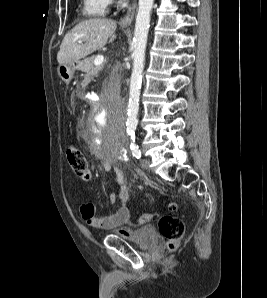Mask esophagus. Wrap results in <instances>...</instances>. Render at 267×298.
Masks as SVG:
<instances>
[{
    "label": "esophagus",
    "mask_w": 267,
    "mask_h": 298,
    "mask_svg": "<svg viewBox=\"0 0 267 298\" xmlns=\"http://www.w3.org/2000/svg\"><path fill=\"white\" fill-rule=\"evenodd\" d=\"M135 9H136V1L133 2V4L128 8L127 13L124 15L123 18L120 20L121 26H129L135 15Z\"/></svg>",
    "instance_id": "obj_1"
}]
</instances>
